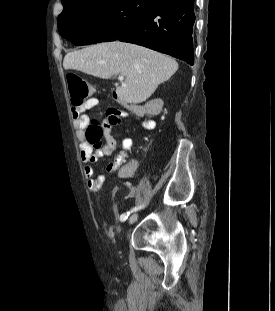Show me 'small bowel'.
<instances>
[{"mask_svg":"<svg viewBox=\"0 0 275 311\" xmlns=\"http://www.w3.org/2000/svg\"><path fill=\"white\" fill-rule=\"evenodd\" d=\"M95 104H82L78 107L72 109V114L75 123V132L78 139L81 141L80 144V158L83 163V172L86 179L87 187L92 192H98L105 181L103 175L95 176L92 163L99 160L102 156L111 155L115 149L116 141L110 135L111 124L107 123L104 125V130L106 133V141L101 148L92 150V148L83 142L84 140V128L88 124V117L84 113L85 110L93 107ZM114 111L120 116L121 119L128 116L126 110L114 109ZM134 121L139 124V126L144 130H153L156 127V122L152 118L143 117L141 114L134 115ZM133 141L131 138L125 137L121 141L122 149L115 155L112 161H110L106 170L109 173H113L118 170L124 163L128 151L132 148ZM126 167L119 171L121 177L131 178L137 169V164L135 162L129 164L126 162Z\"/></svg>","mask_w":275,"mask_h":311,"instance_id":"small-bowel-1","label":"small bowel"}]
</instances>
